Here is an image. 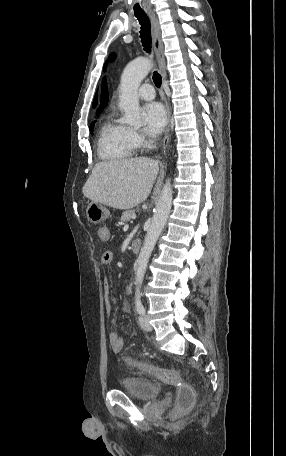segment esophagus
<instances>
[{"label":"esophagus","mask_w":286,"mask_h":456,"mask_svg":"<svg viewBox=\"0 0 286 456\" xmlns=\"http://www.w3.org/2000/svg\"><path fill=\"white\" fill-rule=\"evenodd\" d=\"M148 14L151 19L153 47H154V51H155V54L157 57L158 65H159V72L163 79V83H162V88H163L164 82L166 79V61H165V56L163 53V42L161 39L160 25H159L156 15L153 11H149ZM162 98L165 103L166 114H167V124H166L165 135H164L163 143H162V148H163V151L165 152V150L169 144V141H170L171 110H170L169 103H168L163 91H162Z\"/></svg>","instance_id":"34e87169"}]
</instances>
